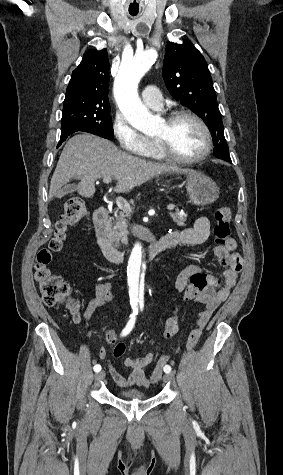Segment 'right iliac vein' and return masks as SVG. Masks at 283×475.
I'll use <instances>...</instances> for the list:
<instances>
[{"label":"right iliac vein","mask_w":283,"mask_h":475,"mask_svg":"<svg viewBox=\"0 0 283 475\" xmlns=\"http://www.w3.org/2000/svg\"><path fill=\"white\" fill-rule=\"evenodd\" d=\"M104 377H105V371H104V370H102V371H100V372H98V373L96 374V379H97V380H101V379H103Z\"/></svg>","instance_id":"1"}]
</instances>
